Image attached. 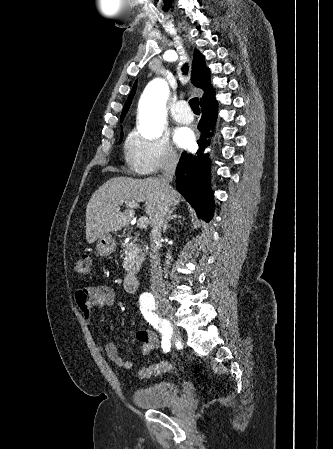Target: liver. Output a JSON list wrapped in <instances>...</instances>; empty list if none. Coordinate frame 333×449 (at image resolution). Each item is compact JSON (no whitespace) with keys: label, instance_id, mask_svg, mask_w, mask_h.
I'll list each match as a JSON object with an SVG mask.
<instances>
[{"label":"liver","instance_id":"6515ba94","mask_svg":"<svg viewBox=\"0 0 333 449\" xmlns=\"http://www.w3.org/2000/svg\"><path fill=\"white\" fill-rule=\"evenodd\" d=\"M162 195V183L157 178L131 179L114 177L98 188L86 208V240L89 244L111 231L122 229L134 217L132 209L120 211L129 201L144 202L151 225L158 211ZM169 206L175 208L181 195L174 189L168 193Z\"/></svg>","mask_w":333,"mask_h":449}]
</instances>
